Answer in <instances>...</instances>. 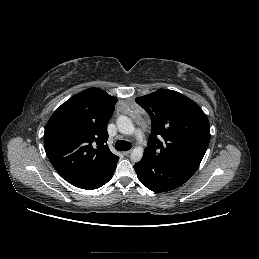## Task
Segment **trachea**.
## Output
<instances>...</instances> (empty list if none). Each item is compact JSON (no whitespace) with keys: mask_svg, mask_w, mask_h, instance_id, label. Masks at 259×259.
I'll list each match as a JSON object with an SVG mask.
<instances>
[{"mask_svg":"<svg viewBox=\"0 0 259 259\" xmlns=\"http://www.w3.org/2000/svg\"><path fill=\"white\" fill-rule=\"evenodd\" d=\"M131 143L128 141L117 140L115 143V149L118 151H127L131 149Z\"/></svg>","mask_w":259,"mask_h":259,"instance_id":"1","label":"trachea"}]
</instances>
